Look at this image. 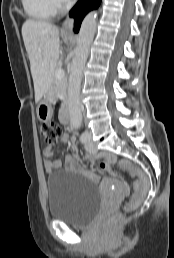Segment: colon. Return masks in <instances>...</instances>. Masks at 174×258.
Instances as JSON below:
<instances>
[{
    "instance_id": "obj_1",
    "label": "colon",
    "mask_w": 174,
    "mask_h": 258,
    "mask_svg": "<svg viewBox=\"0 0 174 258\" xmlns=\"http://www.w3.org/2000/svg\"><path fill=\"white\" fill-rule=\"evenodd\" d=\"M40 135L47 146H53L57 143L62 129L55 122H43L39 127ZM120 168L132 177H136L137 180L134 183V193L125 203L127 210L137 207L147 190V178L146 176L129 160H121L119 163ZM122 216L120 213H114L105 219L103 222V231L106 236L110 237L115 234L120 223Z\"/></svg>"
}]
</instances>
